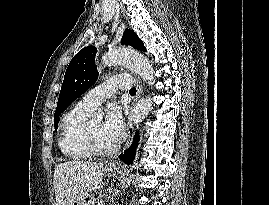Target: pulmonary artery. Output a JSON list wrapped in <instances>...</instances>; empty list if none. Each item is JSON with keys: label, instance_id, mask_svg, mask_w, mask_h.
Wrapping results in <instances>:
<instances>
[{"label": "pulmonary artery", "instance_id": "obj_1", "mask_svg": "<svg viewBox=\"0 0 269 205\" xmlns=\"http://www.w3.org/2000/svg\"><path fill=\"white\" fill-rule=\"evenodd\" d=\"M132 85L133 79L130 75L109 78L90 90L77 105L92 112L117 89H129Z\"/></svg>", "mask_w": 269, "mask_h": 205}]
</instances>
